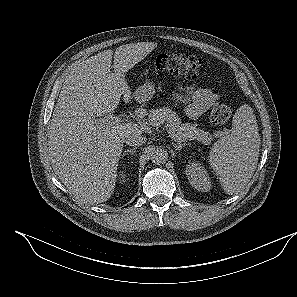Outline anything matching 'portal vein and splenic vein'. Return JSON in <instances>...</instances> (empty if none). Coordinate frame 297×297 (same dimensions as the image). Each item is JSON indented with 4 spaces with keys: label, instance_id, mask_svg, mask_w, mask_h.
Listing matches in <instances>:
<instances>
[{
    "label": "portal vein and splenic vein",
    "instance_id": "portal-vein-and-splenic-vein-1",
    "mask_svg": "<svg viewBox=\"0 0 297 297\" xmlns=\"http://www.w3.org/2000/svg\"><path fill=\"white\" fill-rule=\"evenodd\" d=\"M126 120V119H125ZM127 121V120H126ZM100 122L105 123V124H120L121 122H123V118L120 116H116L114 114H108L107 116H105L104 118L100 119ZM167 132L170 134V136L176 140H181L180 137L174 132L173 129H171L170 127L166 126Z\"/></svg>",
    "mask_w": 297,
    "mask_h": 297
}]
</instances>
